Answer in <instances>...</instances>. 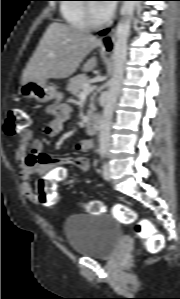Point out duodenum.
<instances>
[{"label":"duodenum","instance_id":"obj_1","mask_svg":"<svg viewBox=\"0 0 180 299\" xmlns=\"http://www.w3.org/2000/svg\"><path fill=\"white\" fill-rule=\"evenodd\" d=\"M99 128V120L95 117L90 118L86 123V131L89 134H95Z\"/></svg>","mask_w":180,"mask_h":299}]
</instances>
